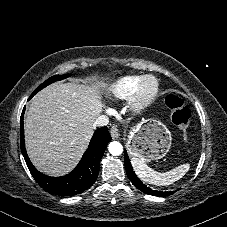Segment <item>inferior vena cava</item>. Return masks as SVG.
I'll return each mask as SVG.
<instances>
[{"instance_id":"602c4592","label":"inferior vena cava","mask_w":227,"mask_h":227,"mask_svg":"<svg viewBox=\"0 0 227 227\" xmlns=\"http://www.w3.org/2000/svg\"><path fill=\"white\" fill-rule=\"evenodd\" d=\"M108 123H109V118L105 115H101L95 120L94 127L96 126L103 127L108 125Z\"/></svg>"}]
</instances>
